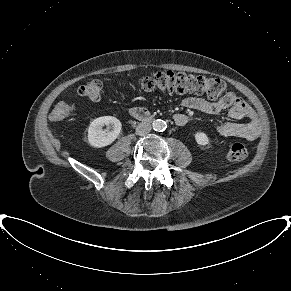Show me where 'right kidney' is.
I'll use <instances>...</instances> for the list:
<instances>
[{
    "instance_id": "1",
    "label": "right kidney",
    "mask_w": 291,
    "mask_h": 291,
    "mask_svg": "<svg viewBox=\"0 0 291 291\" xmlns=\"http://www.w3.org/2000/svg\"><path fill=\"white\" fill-rule=\"evenodd\" d=\"M112 125L113 130H103V125ZM121 122L113 116H103L94 119L88 128V142L95 148L112 144L121 132Z\"/></svg>"
}]
</instances>
